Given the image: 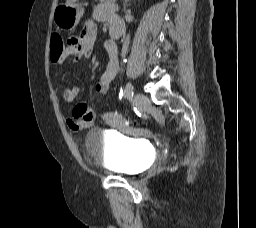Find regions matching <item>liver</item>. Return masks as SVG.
I'll list each match as a JSON object with an SVG mask.
<instances>
[{
  "mask_svg": "<svg viewBox=\"0 0 256 228\" xmlns=\"http://www.w3.org/2000/svg\"><path fill=\"white\" fill-rule=\"evenodd\" d=\"M77 0H67V3H72V2H75Z\"/></svg>",
  "mask_w": 256,
  "mask_h": 228,
  "instance_id": "liver-1",
  "label": "liver"
}]
</instances>
